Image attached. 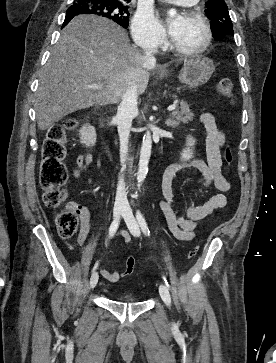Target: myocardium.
<instances>
[{
  "instance_id": "1",
  "label": "myocardium",
  "mask_w": 276,
  "mask_h": 363,
  "mask_svg": "<svg viewBox=\"0 0 276 363\" xmlns=\"http://www.w3.org/2000/svg\"><path fill=\"white\" fill-rule=\"evenodd\" d=\"M185 15L189 18H192V19H195V20L201 22V24L204 27V31H205V40H204L203 44L198 48L184 49V48H181L180 46H178L175 43V41L172 39L171 48L174 52L178 53L181 56L197 57V56H200L203 53H205L212 43L213 35H212L211 26H210V23H209V20L207 19V17L199 11L190 9L185 13Z\"/></svg>"
}]
</instances>
